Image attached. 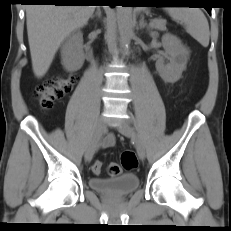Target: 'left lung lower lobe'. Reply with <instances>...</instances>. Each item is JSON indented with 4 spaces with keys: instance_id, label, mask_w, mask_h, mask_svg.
Wrapping results in <instances>:
<instances>
[{
    "instance_id": "1",
    "label": "left lung lower lobe",
    "mask_w": 231,
    "mask_h": 231,
    "mask_svg": "<svg viewBox=\"0 0 231 231\" xmlns=\"http://www.w3.org/2000/svg\"><path fill=\"white\" fill-rule=\"evenodd\" d=\"M154 3L153 0H140L139 4ZM208 13L211 15V7H205Z\"/></svg>"
}]
</instances>
